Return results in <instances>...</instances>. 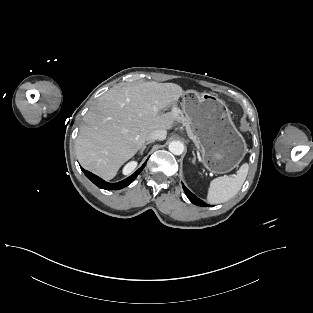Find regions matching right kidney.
Wrapping results in <instances>:
<instances>
[{
    "mask_svg": "<svg viewBox=\"0 0 313 313\" xmlns=\"http://www.w3.org/2000/svg\"><path fill=\"white\" fill-rule=\"evenodd\" d=\"M137 166V162L136 161H131L128 164H126L123 168V174L128 175L130 174L135 167Z\"/></svg>",
    "mask_w": 313,
    "mask_h": 313,
    "instance_id": "obj_1",
    "label": "right kidney"
}]
</instances>
